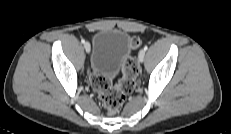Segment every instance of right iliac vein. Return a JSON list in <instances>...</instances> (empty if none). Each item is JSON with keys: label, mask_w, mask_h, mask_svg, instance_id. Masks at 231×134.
Returning <instances> with one entry per match:
<instances>
[{"label": "right iliac vein", "mask_w": 231, "mask_h": 134, "mask_svg": "<svg viewBox=\"0 0 231 134\" xmlns=\"http://www.w3.org/2000/svg\"><path fill=\"white\" fill-rule=\"evenodd\" d=\"M84 48H85V51H86L87 53L90 52L91 47H90V44H89L88 42H85V43H84Z\"/></svg>", "instance_id": "63e3f726"}]
</instances>
